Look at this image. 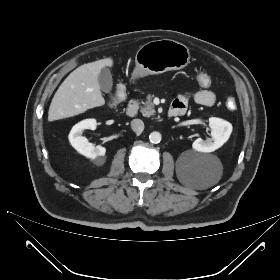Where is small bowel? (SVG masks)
Masks as SVG:
<instances>
[{
	"label": "small bowel",
	"mask_w": 280,
	"mask_h": 280,
	"mask_svg": "<svg viewBox=\"0 0 280 280\" xmlns=\"http://www.w3.org/2000/svg\"><path fill=\"white\" fill-rule=\"evenodd\" d=\"M193 99L196 103L204 106H212L216 101V95L208 88L199 90L193 93ZM188 106V99L185 96H178L172 102L171 107L180 110V114L185 113Z\"/></svg>",
	"instance_id": "obj_1"
}]
</instances>
